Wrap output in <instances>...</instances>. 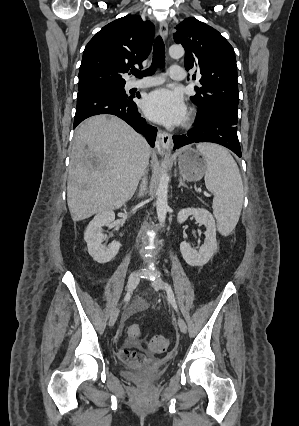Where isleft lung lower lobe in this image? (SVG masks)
Masks as SVG:
<instances>
[{
	"instance_id": "1",
	"label": "left lung lower lobe",
	"mask_w": 299,
	"mask_h": 426,
	"mask_svg": "<svg viewBox=\"0 0 299 426\" xmlns=\"http://www.w3.org/2000/svg\"><path fill=\"white\" fill-rule=\"evenodd\" d=\"M236 124L237 117L220 109L198 113L193 129L185 135L173 136L174 149L190 143L213 142L229 148L241 157Z\"/></svg>"
}]
</instances>
